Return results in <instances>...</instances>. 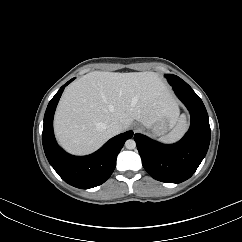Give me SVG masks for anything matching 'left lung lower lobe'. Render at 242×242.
Here are the masks:
<instances>
[{"mask_svg":"<svg viewBox=\"0 0 242 242\" xmlns=\"http://www.w3.org/2000/svg\"><path fill=\"white\" fill-rule=\"evenodd\" d=\"M191 115L188 132L177 143L161 144L142 134H135L145 170L156 180L181 183L189 179L205 157L211 137L208 114L202 100L191 87H173Z\"/></svg>","mask_w":242,"mask_h":242,"instance_id":"1","label":"left lung lower lobe"}]
</instances>
